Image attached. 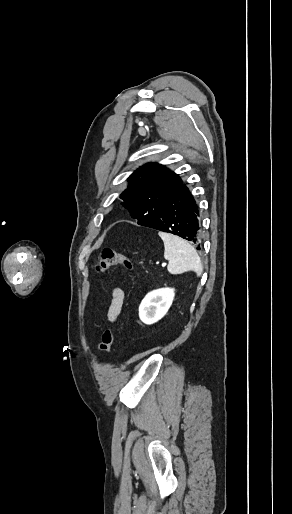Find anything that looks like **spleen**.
<instances>
[{"label":"spleen","mask_w":292,"mask_h":514,"mask_svg":"<svg viewBox=\"0 0 292 514\" xmlns=\"http://www.w3.org/2000/svg\"><path fill=\"white\" fill-rule=\"evenodd\" d=\"M158 236L164 242V258L169 260L167 270L170 274H184V272H196L197 276L202 274L201 260L191 244L165 232H159Z\"/></svg>","instance_id":"3e777b00"}]
</instances>
